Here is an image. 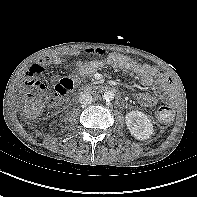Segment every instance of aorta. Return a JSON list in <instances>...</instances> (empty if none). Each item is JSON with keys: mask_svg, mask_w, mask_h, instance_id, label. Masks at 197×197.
<instances>
[{"mask_svg": "<svg viewBox=\"0 0 197 197\" xmlns=\"http://www.w3.org/2000/svg\"><path fill=\"white\" fill-rule=\"evenodd\" d=\"M114 96H115L114 92L113 91H110V90L105 91L103 93V95H102V97H103V99L105 101H112L114 99Z\"/></svg>", "mask_w": 197, "mask_h": 197, "instance_id": "obj_1", "label": "aorta"}]
</instances>
